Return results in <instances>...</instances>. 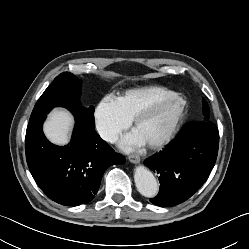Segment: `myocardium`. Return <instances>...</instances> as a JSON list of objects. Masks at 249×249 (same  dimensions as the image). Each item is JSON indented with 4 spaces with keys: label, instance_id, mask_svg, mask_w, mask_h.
I'll return each mask as SVG.
<instances>
[{
    "label": "myocardium",
    "instance_id": "obj_1",
    "mask_svg": "<svg viewBox=\"0 0 249 249\" xmlns=\"http://www.w3.org/2000/svg\"><path fill=\"white\" fill-rule=\"evenodd\" d=\"M173 99H178L181 101V108L178 114L177 119L175 120L173 126L169 130V132L160 140L149 143L148 146L152 149H159L165 145H167L176 135L178 132L179 128L181 127L182 123L184 122L187 109H188V101L185 96L178 94V93H173L169 96L160 98L151 104L147 105L144 109H142L133 119L132 121V126L133 129L137 127L138 124H140L143 120H145L147 117H149L158 107L161 105L173 100Z\"/></svg>",
    "mask_w": 249,
    "mask_h": 249
}]
</instances>
